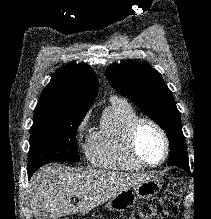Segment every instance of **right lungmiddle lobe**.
I'll list each match as a JSON object with an SVG mask.
<instances>
[{
  "label": "right lung middle lobe",
  "instance_id": "dd1d6c3e",
  "mask_svg": "<svg viewBox=\"0 0 211 219\" xmlns=\"http://www.w3.org/2000/svg\"><path fill=\"white\" fill-rule=\"evenodd\" d=\"M85 113L55 114L36 107L30 129L28 177L39 167L54 161H79L76 133Z\"/></svg>",
  "mask_w": 211,
  "mask_h": 219
}]
</instances>
